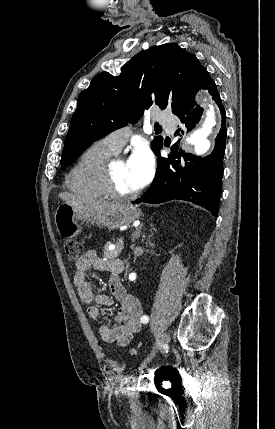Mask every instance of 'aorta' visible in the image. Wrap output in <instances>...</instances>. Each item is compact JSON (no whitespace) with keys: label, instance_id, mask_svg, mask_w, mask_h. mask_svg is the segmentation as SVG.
Here are the masks:
<instances>
[{"label":"aorta","instance_id":"762f6f07","mask_svg":"<svg viewBox=\"0 0 275 429\" xmlns=\"http://www.w3.org/2000/svg\"><path fill=\"white\" fill-rule=\"evenodd\" d=\"M204 101L207 98L204 96ZM220 121V114L216 105L212 102L207 104L205 119L200 128L193 131L190 136L186 138L188 144L194 146L197 154H203L210 148L209 137L213 134Z\"/></svg>","mask_w":275,"mask_h":429}]
</instances>
